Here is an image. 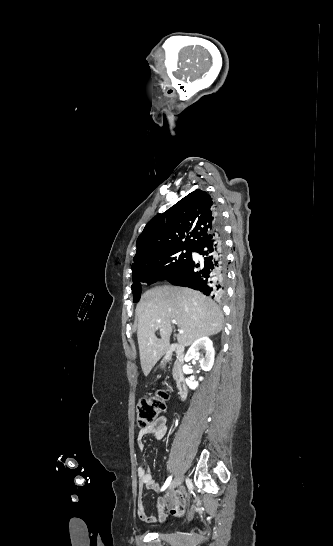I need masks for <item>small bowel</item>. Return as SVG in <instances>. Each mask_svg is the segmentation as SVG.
Instances as JSON below:
<instances>
[{
    "label": "small bowel",
    "mask_w": 333,
    "mask_h": 546,
    "mask_svg": "<svg viewBox=\"0 0 333 546\" xmlns=\"http://www.w3.org/2000/svg\"><path fill=\"white\" fill-rule=\"evenodd\" d=\"M167 430V417L161 416L157 418L150 426L139 431L137 435V445L139 449L143 450L145 448V438L147 436L151 435L157 440H162L166 436ZM137 476L140 487V491L137 496V514L142 521L156 525L163 523L168 514H175L179 516L184 514L186 508L188 507V502L182 491H174L163 496L158 502L157 514H149L143 504L141 489L145 487L147 489L157 491L158 483L147 466L140 465L137 468Z\"/></svg>",
    "instance_id": "small-bowel-1"
}]
</instances>
